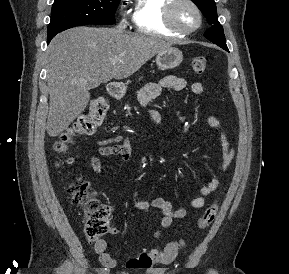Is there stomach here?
Listing matches in <instances>:
<instances>
[{
	"mask_svg": "<svg viewBox=\"0 0 289 274\" xmlns=\"http://www.w3.org/2000/svg\"><path fill=\"white\" fill-rule=\"evenodd\" d=\"M183 60L182 52L177 48H170L156 57V64L160 69H172L181 64ZM121 93H124L126 86L123 83L118 84Z\"/></svg>",
	"mask_w": 289,
	"mask_h": 274,
	"instance_id": "0dacf381",
	"label": "stomach"
}]
</instances>
